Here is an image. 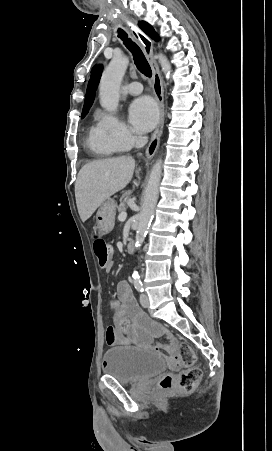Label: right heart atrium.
Returning a JSON list of instances; mask_svg holds the SVG:
<instances>
[{
	"instance_id": "d8ad5b80",
	"label": "right heart atrium",
	"mask_w": 272,
	"mask_h": 451,
	"mask_svg": "<svg viewBox=\"0 0 272 451\" xmlns=\"http://www.w3.org/2000/svg\"><path fill=\"white\" fill-rule=\"evenodd\" d=\"M99 127L120 148L126 147L131 141V131L119 117L113 114L101 115Z\"/></svg>"
}]
</instances>
